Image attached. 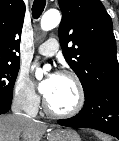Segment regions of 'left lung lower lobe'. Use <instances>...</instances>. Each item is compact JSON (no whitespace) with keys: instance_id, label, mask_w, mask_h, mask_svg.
I'll return each instance as SVG.
<instances>
[{"instance_id":"0a47b994","label":"left lung lower lobe","mask_w":119,"mask_h":141,"mask_svg":"<svg viewBox=\"0 0 119 141\" xmlns=\"http://www.w3.org/2000/svg\"><path fill=\"white\" fill-rule=\"evenodd\" d=\"M66 127L92 128L119 139V84H110L85 97L83 109L74 117L58 120Z\"/></svg>"}]
</instances>
